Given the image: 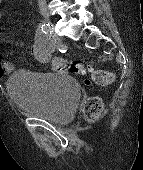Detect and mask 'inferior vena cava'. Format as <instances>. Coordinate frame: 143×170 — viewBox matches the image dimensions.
Here are the masks:
<instances>
[{
    "label": "inferior vena cava",
    "instance_id": "inferior-vena-cava-1",
    "mask_svg": "<svg viewBox=\"0 0 143 170\" xmlns=\"http://www.w3.org/2000/svg\"><path fill=\"white\" fill-rule=\"evenodd\" d=\"M38 5L41 11L46 10V0H38Z\"/></svg>",
    "mask_w": 143,
    "mask_h": 170
}]
</instances>
